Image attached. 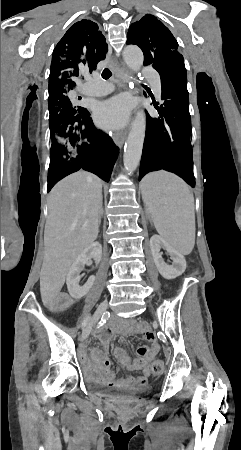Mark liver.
<instances>
[{
  "label": "liver",
  "mask_w": 241,
  "mask_h": 450,
  "mask_svg": "<svg viewBox=\"0 0 241 450\" xmlns=\"http://www.w3.org/2000/svg\"><path fill=\"white\" fill-rule=\"evenodd\" d=\"M48 208L40 272L44 306H52L72 262L98 236L99 216L103 212L101 180L83 170L67 176L52 188Z\"/></svg>",
  "instance_id": "6515ba94"
}]
</instances>
